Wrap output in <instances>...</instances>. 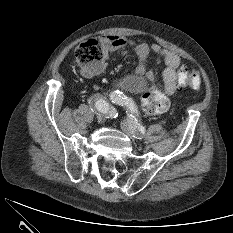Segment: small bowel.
<instances>
[{
  "mask_svg": "<svg viewBox=\"0 0 233 233\" xmlns=\"http://www.w3.org/2000/svg\"><path fill=\"white\" fill-rule=\"evenodd\" d=\"M105 57L107 58L112 52L120 51L124 53L129 46L134 47L138 57L139 66L136 75L143 74L145 70L146 60L150 52L156 56V62L164 63L163 80L166 95L171 96L177 89L178 72L182 68L180 58L175 53L162 48L158 44L149 46L145 42H139L121 36L109 35L103 38ZM103 69V65L91 70L84 71L85 76L93 77Z\"/></svg>",
  "mask_w": 233,
  "mask_h": 233,
  "instance_id": "c3829d8e",
  "label": "small bowel"
}]
</instances>
